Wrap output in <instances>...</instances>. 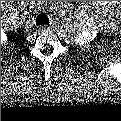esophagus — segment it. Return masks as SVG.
I'll return each instance as SVG.
<instances>
[{
    "instance_id": "obj_1",
    "label": "esophagus",
    "mask_w": 121,
    "mask_h": 121,
    "mask_svg": "<svg viewBox=\"0 0 121 121\" xmlns=\"http://www.w3.org/2000/svg\"><path fill=\"white\" fill-rule=\"evenodd\" d=\"M48 29H49V28H48L47 26H45V25L41 27V30H42V31H47Z\"/></svg>"
}]
</instances>
